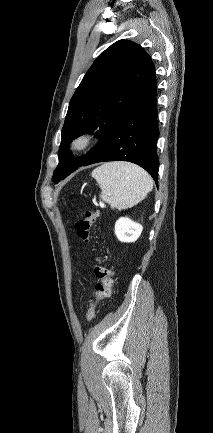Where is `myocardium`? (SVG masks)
I'll return each instance as SVG.
<instances>
[{
    "instance_id": "obj_1",
    "label": "myocardium",
    "mask_w": 213,
    "mask_h": 433,
    "mask_svg": "<svg viewBox=\"0 0 213 433\" xmlns=\"http://www.w3.org/2000/svg\"><path fill=\"white\" fill-rule=\"evenodd\" d=\"M94 142V135L90 132H81L75 135L69 143V150L74 154L87 151Z\"/></svg>"
}]
</instances>
